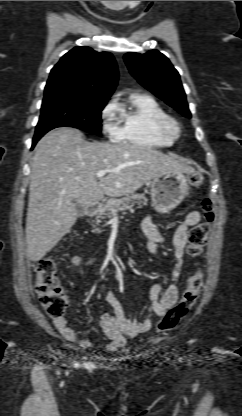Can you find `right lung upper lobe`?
Returning a JSON list of instances; mask_svg holds the SVG:
<instances>
[{
  "label": "right lung upper lobe",
  "instance_id": "cb5924a9",
  "mask_svg": "<svg viewBox=\"0 0 242 416\" xmlns=\"http://www.w3.org/2000/svg\"><path fill=\"white\" fill-rule=\"evenodd\" d=\"M117 80V65L111 53L75 47L52 68L45 97L68 95L109 99Z\"/></svg>",
  "mask_w": 242,
  "mask_h": 416
}]
</instances>
